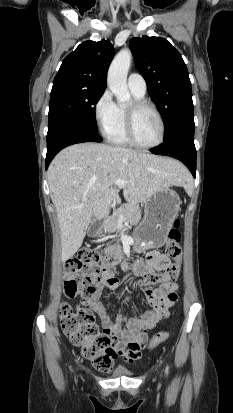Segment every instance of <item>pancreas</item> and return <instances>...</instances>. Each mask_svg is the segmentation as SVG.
Listing matches in <instances>:
<instances>
[{
    "label": "pancreas",
    "instance_id": "obj_1",
    "mask_svg": "<svg viewBox=\"0 0 233 413\" xmlns=\"http://www.w3.org/2000/svg\"><path fill=\"white\" fill-rule=\"evenodd\" d=\"M122 219L125 225H136L141 220L140 208L132 204H124L103 222L105 233H113L118 229L119 221Z\"/></svg>",
    "mask_w": 233,
    "mask_h": 413
}]
</instances>
